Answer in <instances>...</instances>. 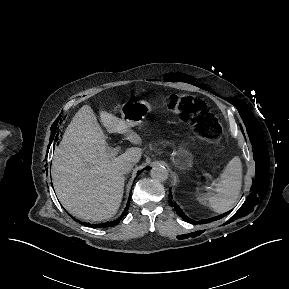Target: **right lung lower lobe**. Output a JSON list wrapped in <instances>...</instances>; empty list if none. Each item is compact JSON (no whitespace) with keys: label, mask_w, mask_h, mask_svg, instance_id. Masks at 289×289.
<instances>
[{"label":"right lung lower lobe","mask_w":289,"mask_h":289,"mask_svg":"<svg viewBox=\"0 0 289 289\" xmlns=\"http://www.w3.org/2000/svg\"><path fill=\"white\" fill-rule=\"evenodd\" d=\"M129 201H130V198H129ZM128 207H129V202H128V205H127L125 211L122 213L121 217H119L117 220H114L112 222L103 223V224H100V225L85 224V223H83V224L87 225V226L94 227V228H97V227H113V226L117 225L119 223L120 219H122V217H124L127 214Z\"/></svg>","instance_id":"1"}]
</instances>
